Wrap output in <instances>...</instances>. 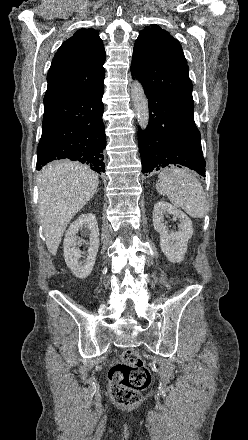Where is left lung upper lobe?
Instances as JSON below:
<instances>
[{"instance_id":"1","label":"left lung upper lobe","mask_w":248,"mask_h":440,"mask_svg":"<svg viewBox=\"0 0 248 440\" xmlns=\"http://www.w3.org/2000/svg\"><path fill=\"white\" fill-rule=\"evenodd\" d=\"M131 73L145 89L159 92L194 116L193 86L182 47L158 25L140 31L134 45Z\"/></svg>"}]
</instances>
